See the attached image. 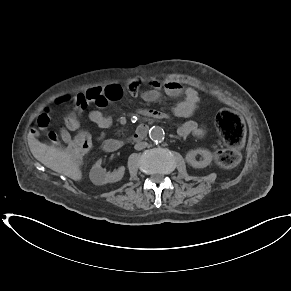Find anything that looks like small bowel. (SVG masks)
I'll return each mask as SVG.
<instances>
[{
  "label": "small bowel",
  "instance_id": "small-bowel-1",
  "mask_svg": "<svg viewBox=\"0 0 291 291\" xmlns=\"http://www.w3.org/2000/svg\"><path fill=\"white\" fill-rule=\"evenodd\" d=\"M146 79L140 75L136 74L132 76L126 84V90L132 96L140 95L141 98L148 102L154 103L160 100L162 93H166L170 97L183 96V100L179 101L173 108L174 114L179 118L188 119L192 116L199 103L198 93L190 87H184L177 81H149L150 88L141 91L143 85L146 83ZM125 88L120 83H108L105 85L91 86L81 92L76 96V107L78 113H82L87 105L93 104L96 109L89 112V119L96 124L101 132L98 135V139L104 137V130L109 128L112 124V119L105 116L101 111V108L105 107L109 102L118 101L124 95ZM139 114L143 118L149 120H164L167 121L170 115L163 111H150L146 108H142ZM77 124L76 119L74 118ZM50 118L49 115L44 112L36 120L35 128L32 131L33 136H37L39 132L46 130L49 127ZM68 129H63L60 132L61 139L69 143L72 136L69 130H73L71 127ZM178 134L182 137L193 135L202 136L204 134V129L198 125L194 120H186L178 129ZM51 141H57V138Z\"/></svg>",
  "mask_w": 291,
  "mask_h": 291
}]
</instances>
